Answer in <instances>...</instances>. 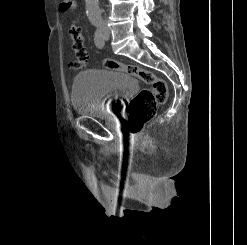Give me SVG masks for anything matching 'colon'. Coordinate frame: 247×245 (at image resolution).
<instances>
[{
  "label": "colon",
  "mask_w": 247,
  "mask_h": 245,
  "mask_svg": "<svg viewBox=\"0 0 247 245\" xmlns=\"http://www.w3.org/2000/svg\"><path fill=\"white\" fill-rule=\"evenodd\" d=\"M61 7L63 11L71 12L75 8L74 0H63ZM69 35L73 40V48L76 59L70 63L73 70L85 68L89 55L83 42L82 35L69 30ZM102 65L110 70L125 72L131 76L139 78L142 82L150 86L148 89L140 90L130 101L128 106V126L133 132H139L157 113V108L163 105L168 96L167 84L164 79L154 72L133 64H125L112 59H104Z\"/></svg>",
  "instance_id": "5ec220e1"
}]
</instances>
